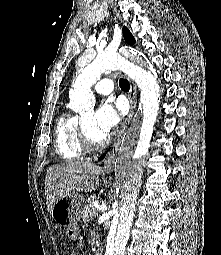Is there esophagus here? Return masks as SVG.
Listing matches in <instances>:
<instances>
[{"instance_id": "esophagus-1", "label": "esophagus", "mask_w": 221, "mask_h": 255, "mask_svg": "<svg viewBox=\"0 0 221 255\" xmlns=\"http://www.w3.org/2000/svg\"><path fill=\"white\" fill-rule=\"evenodd\" d=\"M130 84V91H129V101H130V111L125 119V122L123 124V127L121 131L119 132L118 138L116 143L113 145V148L108 152L106 160L104 162V171L106 172H111L120 148L121 140L133 118L135 108H136V103H137V89L136 85L132 80H129Z\"/></svg>"}]
</instances>
